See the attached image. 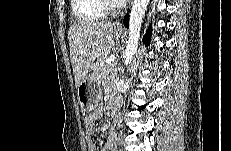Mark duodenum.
Returning <instances> with one entry per match:
<instances>
[{
    "mask_svg": "<svg viewBox=\"0 0 231 151\" xmlns=\"http://www.w3.org/2000/svg\"><path fill=\"white\" fill-rule=\"evenodd\" d=\"M120 103L118 99L113 98L111 100V112L113 116H118L119 114Z\"/></svg>",
    "mask_w": 231,
    "mask_h": 151,
    "instance_id": "1",
    "label": "duodenum"
}]
</instances>
